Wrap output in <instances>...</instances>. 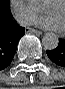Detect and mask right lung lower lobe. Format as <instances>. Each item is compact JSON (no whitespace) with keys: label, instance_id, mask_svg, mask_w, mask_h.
<instances>
[{"label":"right lung lower lobe","instance_id":"right-lung-lower-lobe-1","mask_svg":"<svg viewBox=\"0 0 65 89\" xmlns=\"http://www.w3.org/2000/svg\"><path fill=\"white\" fill-rule=\"evenodd\" d=\"M24 34L25 28L12 20L9 10L0 11V71L12 62L18 41Z\"/></svg>","mask_w":65,"mask_h":89}]
</instances>
